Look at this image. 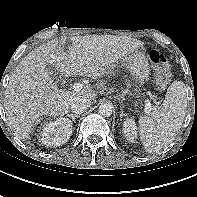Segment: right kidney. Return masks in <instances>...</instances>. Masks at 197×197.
Segmentation results:
<instances>
[{
  "label": "right kidney",
  "instance_id": "obj_1",
  "mask_svg": "<svg viewBox=\"0 0 197 197\" xmlns=\"http://www.w3.org/2000/svg\"><path fill=\"white\" fill-rule=\"evenodd\" d=\"M72 130V122L67 118L50 121L43 128L42 143L48 147L60 146L69 140Z\"/></svg>",
  "mask_w": 197,
  "mask_h": 197
}]
</instances>
